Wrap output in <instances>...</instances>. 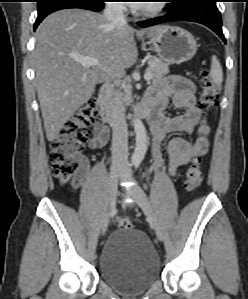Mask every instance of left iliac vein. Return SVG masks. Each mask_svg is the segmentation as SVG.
<instances>
[{"instance_id":"1","label":"left iliac vein","mask_w":248,"mask_h":299,"mask_svg":"<svg viewBox=\"0 0 248 299\" xmlns=\"http://www.w3.org/2000/svg\"><path fill=\"white\" fill-rule=\"evenodd\" d=\"M126 167H128V165ZM131 193H132L134 199L137 201V204L150 217L151 225H152L153 229L155 230L157 237L160 240H163V232H162L160 220L158 219L157 215L153 211L152 206H151L144 190L138 185H133L131 188Z\"/></svg>"}]
</instances>
